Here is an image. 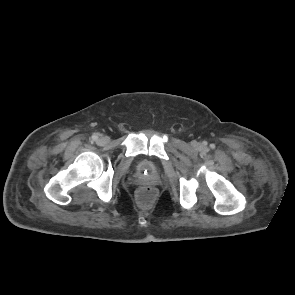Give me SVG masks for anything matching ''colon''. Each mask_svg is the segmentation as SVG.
<instances>
[{"label": "colon", "mask_w": 295, "mask_h": 295, "mask_svg": "<svg viewBox=\"0 0 295 295\" xmlns=\"http://www.w3.org/2000/svg\"><path fill=\"white\" fill-rule=\"evenodd\" d=\"M156 197V190L151 186H143L137 192V198L142 204H150Z\"/></svg>", "instance_id": "5ec220e1"}]
</instances>
